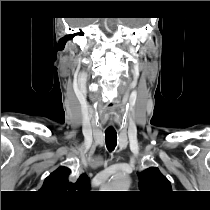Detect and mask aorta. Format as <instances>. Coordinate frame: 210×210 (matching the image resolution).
I'll return each instance as SVG.
<instances>
[{
  "instance_id": "762f6f07",
  "label": "aorta",
  "mask_w": 210,
  "mask_h": 210,
  "mask_svg": "<svg viewBox=\"0 0 210 210\" xmlns=\"http://www.w3.org/2000/svg\"><path fill=\"white\" fill-rule=\"evenodd\" d=\"M130 186V177L124 172L115 174L110 182L106 185V189L111 191H126Z\"/></svg>"
}]
</instances>
